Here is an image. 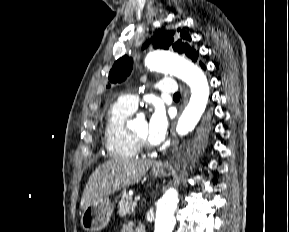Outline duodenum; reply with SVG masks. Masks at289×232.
<instances>
[{"mask_svg":"<svg viewBox=\"0 0 289 232\" xmlns=\"http://www.w3.org/2000/svg\"><path fill=\"white\" fill-rule=\"evenodd\" d=\"M136 232H146L143 226H138Z\"/></svg>","mask_w":289,"mask_h":232,"instance_id":"obj_1","label":"duodenum"}]
</instances>
